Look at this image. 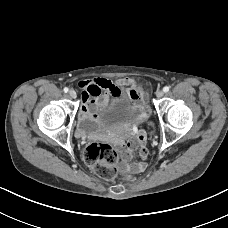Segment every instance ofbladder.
<instances>
[{
    "label": "bladder",
    "instance_id": "31cf9c89",
    "mask_svg": "<svg viewBox=\"0 0 228 228\" xmlns=\"http://www.w3.org/2000/svg\"><path fill=\"white\" fill-rule=\"evenodd\" d=\"M142 113V107L130 98L129 93L120 91L113 94L101 108L98 115V124L106 129L130 126L141 120Z\"/></svg>",
    "mask_w": 228,
    "mask_h": 228
}]
</instances>
